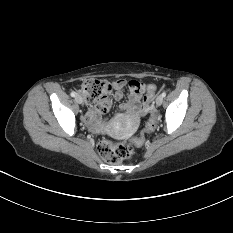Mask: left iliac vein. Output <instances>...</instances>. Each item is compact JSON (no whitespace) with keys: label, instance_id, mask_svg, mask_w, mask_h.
I'll list each match as a JSON object with an SVG mask.
<instances>
[{"label":"left iliac vein","instance_id":"4c4485c4","mask_svg":"<svg viewBox=\"0 0 233 233\" xmlns=\"http://www.w3.org/2000/svg\"><path fill=\"white\" fill-rule=\"evenodd\" d=\"M163 102V97L161 95L157 96L155 103L157 106H160Z\"/></svg>","mask_w":233,"mask_h":233}]
</instances>
